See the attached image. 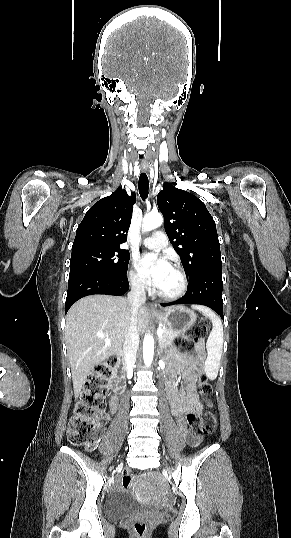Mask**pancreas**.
<instances>
[{
    "instance_id": "obj_1",
    "label": "pancreas",
    "mask_w": 291,
    "mask_h": 538,
    "mask_svg": "<svg viewBox=\"0 0 291 538\" xmlns=\"http://www.w3.org/2000/svg\"><path fill=\"white\" fill-rule=\"evenodd\" d=\"M179 335L178 332L163 328V335L159 338V343L162 348L173 343L174 339Z\"/></svg>"
}]
</instances>
